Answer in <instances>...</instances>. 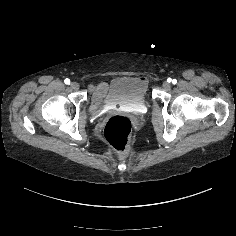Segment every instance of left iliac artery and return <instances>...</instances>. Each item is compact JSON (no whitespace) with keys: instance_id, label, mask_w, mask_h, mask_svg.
Masks as SVG:
<instances>
[{"instance_id":"44dca946","label":"left iliac artery","mask_w":236,"mask_h":236,"mask_svg":"<svg viewBox=\"0 0 236 236\" xmlns=\"http://www.w3.org/2000/svg\"><path fill=\"white\" fill-rule=\"evenodd\" d=\"M172 83H173V84H176V83H177V80H176V79H173V80H172Z\"/></svg>"}]
</instances>
